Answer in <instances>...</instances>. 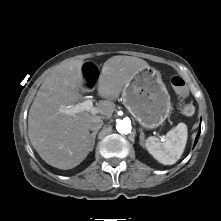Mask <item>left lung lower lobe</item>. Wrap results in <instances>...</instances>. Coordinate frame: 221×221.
Masks as SVG:
<instances>
[{
	"instance_id": "0a47b994",
	"label": "left lung lower lobe",
	"mask_w": 221,
	"mask_h": 221,
	"mask_svg": "<svg viewBox=\"0 0 221 221\" xmlns=\"http://www.w3.org/2000/svg\"><path fill=\"white\" fill-rule=\"evenodd\" d=\"M199 134H200V131H199L198 134H197L195 144H196V142H197V140H198Z\"/></svg>"
}]
</instances>
